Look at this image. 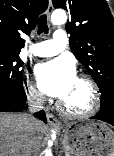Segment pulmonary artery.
<instances>
[{"instance_id":"obj_1","label":"pulmonary artery","mask_w":114,"mask_h":156,"mask_svg":"<svg viewBox=\"0 0 114 156\" xmlns=\"http://www.w3.org/2000/svg\"><path fill=\"white\" fill-rule=\"evenodd\" d=\"M67 42L65 31L57 30L52 39L33 44L30 48V53L38 57L55 56L65 49Z\"/></svg>"}]
</instances>
